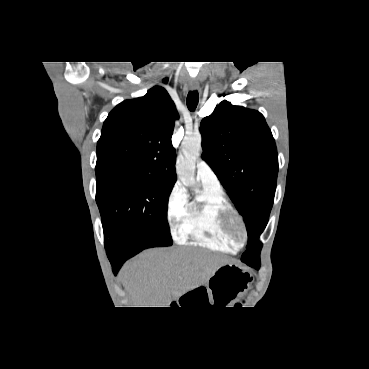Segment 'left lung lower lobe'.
<instances>
[{
  "label": "left lung lower lobe",
  "instance_id": "obj_1",
  "mask_svg": "<svg viewBox=\"0 0 369 369\" xmlns=\"http://www.w3.org/2000/svg\"><path fill=\"white\" fill-rule=\"evenodd\" d=\"M251 267H253L255 269H259L260 268V266H251Z\"/></svg>",
  "mask_w": 369,
  "mask_h": 369
}]
</instances>
